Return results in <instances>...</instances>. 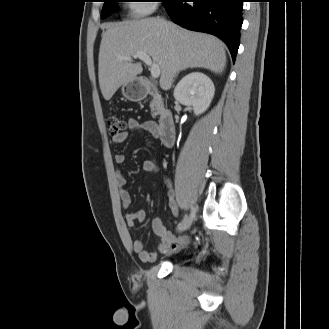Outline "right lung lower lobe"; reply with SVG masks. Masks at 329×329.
Instances as JSON below:
<instances>
[{"mask_svg": "<svg viewBox=\"0 0 329 329\" xmlns=\"http://www.w3.org/2000/svg\"><path fill=\"white\" fill-rule=\"evenodd\" d=\"M192 1V2H187ZM244 0H168L163 5L172 21L184 28L219 37L235 60Z\"/></svg>", "mask_w": 329, "mask_h": 329, "instance_id": "right-lung-lower-lobe-1", "label": "right lung lower lobe"}]
</instances>
